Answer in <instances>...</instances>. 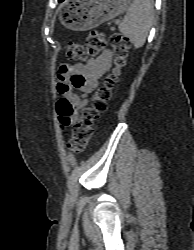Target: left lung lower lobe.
Wrapping results in <instances>:
<instances>
[{"instance_id": "1", "label": "left lung lower lobe", "mask_w": 194, "mask_h": 250, "mask_svg": "<svg viewBox=\"0 0 194 250\" xmlns=\"http://www.w3.org/2000/svg\"><path fill=\"white\" fill-rule=\"evenodd\" d=\"M64 0H59V2H63Z\"/></svg>"}]
</instances>
